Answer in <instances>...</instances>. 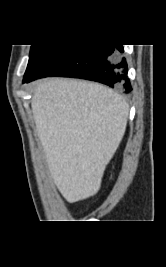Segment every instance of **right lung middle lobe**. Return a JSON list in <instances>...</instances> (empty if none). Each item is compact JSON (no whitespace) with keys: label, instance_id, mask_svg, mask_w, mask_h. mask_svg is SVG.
I'll return each instance as SVG.
<instances>
[{"label":"right lung middle lobe","instance_id":"right-lung-middle-lobe-1","mask_svg":"<svg viewBox=\"0 0 166 267\" xmlns=\"http://www.w3.org/2000/svg\"><path fill=\"white\" fill-rule=\"evenodd\" d=\"M52 45H32L30 49L29 62L24 74V79H26L34 70L36 65L45 55V53L50 49ZM23 79V80H24Z\"/></svg>","mask_w":166,"mask_h":267}]
</instances>
